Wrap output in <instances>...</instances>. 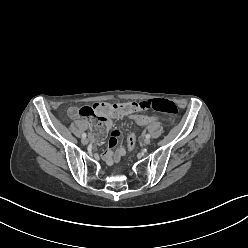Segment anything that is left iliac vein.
Wrapping results in <instances>:
<instances>
[{"label": "left iliac vein", "mask_w": 248, "mask_h": 248, "mask_svg": "<svg viewBox=\"0 0 248 248\" xmlns=\"http://www.w3.org/2000/svg\"><path fill=\"white\" fill-rule=\"evenodd\" d=\"M143 142L145 145H149L151 141H150V139L146 138L143 140Z\"/></svg>", "instance_id": "4c4485c4"}]
</instances>
